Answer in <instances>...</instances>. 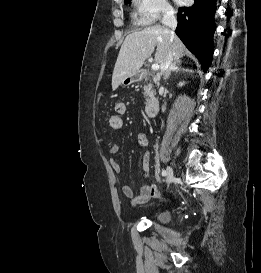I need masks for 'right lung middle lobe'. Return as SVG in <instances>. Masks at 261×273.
<instances>
[{
	"instance_id": "1",
	"label": "right lung middle lobe",
	"mask_w": 261,
	"mask_h": 273,
	"mask_svg": "<svg viewBox=\"0 0 261 273\" xmlns=\"http://www.w3.org/2000/svg\"><path fill=\"white\" fill-rule=\"evenodd\" d=\"M130 1H131V0H126L125 3L128 4V3H130Z\"/></svg>"
}]
</instances>
